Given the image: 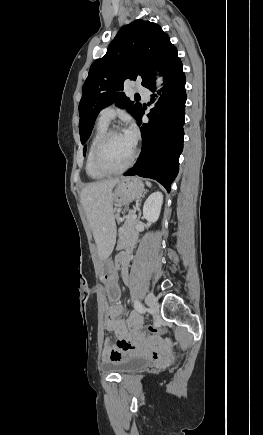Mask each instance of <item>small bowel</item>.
Returning a JSON list of instances; mask_svg holds the SVG:
<instances>
[{
  "label": "small bowel",
  "instance_id": "c3829d8e",
  "mask_svg": "<svg viewBox=\"0 0 263 435\" xmlns=\"http://www.w3.org/2000/svg\"><path fill=\"white\" fill-rule=\"evenodd\" d=\"M135 239L127 237L124 241L127 247L134 245ZM129 262L130 255L128 251L119 252L114 259V266L122 270V279L125 283L129 282ZM120 264V267H117ZM123 312V306L107 305V315L105 328L113 332L108 338L112 339V350H102V361L113 362L125 358L128 355H140L144 350L145 356H150L151 361L155 364H165L166 361L176 359V354L169 352L168 343L160 341L163 335L160 332L156 334H145L142 331L143 318L138 313H132L128 320L120 316ZM117 338L119 341H116Z\"/></svg>",
  "mask_w": 263,
  "mask_h": 435
}]
</instances>
